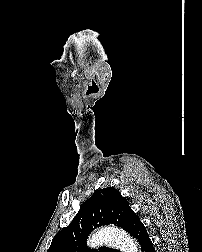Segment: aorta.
Wrapping results in <instances>:
<instances>
[{
  "mask_svg": "<svg viewBox=\"0 0 202 252\" xmlns=\"http://www.w3.org/2000/svg\"><path fill=\"white\" fill-rule=\"evenodd\" d=\"M107 244L121 252H138L135 240L125 231L115 227H105L93 234L88 240L89 247Z\"/></svg>",
  "mask_w": 202,
  "mask_h": 252,
  "instance_id": "aorta-1",
  "label": "aorta"
}]
</instances>
